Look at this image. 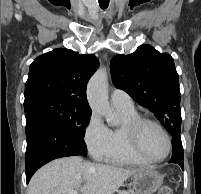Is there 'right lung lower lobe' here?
I'll use <instances>...</instances> for the list:
<instances>
[{"label": "right lung lower lobe", "instance_id": "98d812e1", "mask_svg": "<svg viewBox=\"0 0 201 194\" xmlns=\"http://www.w3.org/2000/svg\"><path fill=\"white\" fill-rule=\"evenodd\" d=\"M25 130L27 183L37 169L49 161L65 156L84 155V151H87L83 138L47 117L34 115L26 119Z\"/></svg>", "mask_w": 201, "mask_h": 194}]
</instances>
